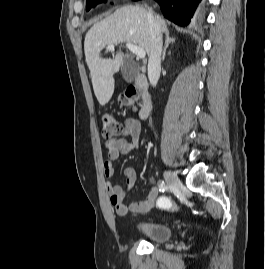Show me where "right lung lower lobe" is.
I'll return each instance as SVG.
<instances>
[{
	"instance_id": "1",
	"label": "right lung lower lobe",
	"mask_w": 265,
	"mask_h": 269,
	"mask_svg": "<svg viewBox=\"0 0 265 269\" xmlns=\"http://www.w3.org/2000/svg\"><path fill=\"white\" fill-rule=\"evenodd\" d=\"M138 1V0H134ZM164 16L172 22L185 26L189 24L201 0H155Z\"/></svg>"
}]
</instances>
